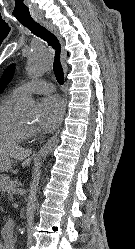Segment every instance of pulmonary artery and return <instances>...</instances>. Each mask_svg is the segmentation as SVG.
Instances as JSON below:
<instances>
[{
	"label": "pulmonary artery",
	"instance_id": "pulmonary-artery-1",
	"mask_svg": "<svg viewBox=\"0 0 135 249\" xmlns=\"http://www.w3.org/2000/svg\"><path fill=\"white\" fill-rule=\"evenodd\" d=\"M55 90L54 84L46 81H30L19 85L13 93L22 98L31 94H49Z\"/></svg>",
	"mask_w": 135,
	"mask_h": 249
}]
</instances>
